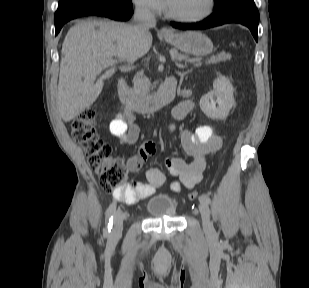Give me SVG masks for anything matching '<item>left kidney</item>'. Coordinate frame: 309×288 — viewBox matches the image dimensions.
I'll return each mask as SVG.
<instances>
[{
	"instance_id": "5707ae66",
	"label": "left kidney",
	"mask_w": 309,
	"mask_h": 288,
	"mask_svg": "<svg viewBox=\"0 0 309 288\" xmlns=\"http://www.w3.org/2000/svg\"><path fill=\"white\" fill-rule=\"evenodd\" d=\"M214 90L208 92L200 99V108L212 119H225L234 105L233 87L230 81L218 75L213 82ZM217 98V106L214 98Z\"/></svg>"
}]
</instances>
